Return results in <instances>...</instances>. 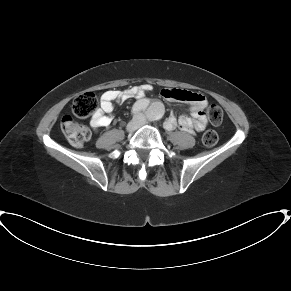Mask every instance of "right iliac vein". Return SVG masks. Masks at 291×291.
Masks as SVG:
<instances>
[{
  "mask_svg": "<svg viewBox=\"0 0 291 291\" xmlns=\"http://www.w3.org/2000/svg\"><path fill=\"white\" fill-rule=\"evenodd\" d=\"M139 128V120L137 118L132 119L126 126L128 132H134Z\"/></svg>",
  "mask_w": 291,
  "mask_h": 291,
  "instance_id": "obj_1",
  "label": "right iliac vein"
}]
</instances>
